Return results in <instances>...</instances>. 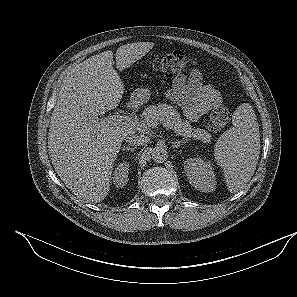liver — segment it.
<instances>
[{"label": "liver", "mask_w": 297, "mask_h": 297, "mask_svg": "<svg viewBox=\"0 0 297 297\" xmlns=\"http://www.w3.org/2000/svg\"><path fill=\"white\" fill-rule=\"evenodd\" d=\"M152 42H135L116 51L122 70L144 57ZM110 50L91 56L64 77L52 112L48 151L52 165L79 199L100 202L108 195L111 174L123 139L135 129L101 125L98 116L118 106L124 85L113 68Z\"/></svg>", "instance_id": "6515ba94"}]
</instances>
